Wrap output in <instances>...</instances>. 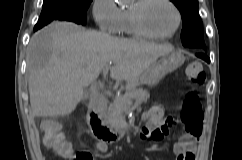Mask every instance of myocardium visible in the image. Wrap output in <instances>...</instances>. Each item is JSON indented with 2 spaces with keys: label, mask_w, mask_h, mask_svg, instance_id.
Masks as SVG:
<instances>
[{
  "label": "myocardium",
  "mask_w": 242,
  "mask_h": 160,
  "mask_svg": "<svg viewBox=\"0 0 242 160\" xmlns=\"http://www.w3.org/2000/svg\"><path fill=\"white\" fill-rule=\"evenodd\" d=\"M152 0H136L134 6L129 9V17L132 24L133 29L135 32L140 35L141 37L148 38V39H156V40H163L169 39L173 37L182 24V14L178 6L172 0H164L168 3L176 13L177 22L174 30L168 34H155L150 32L146 26L144 25L142 12L146 5L151 2Z\"/></svg>",
  "instance_id": "1"
}]
</instances>
